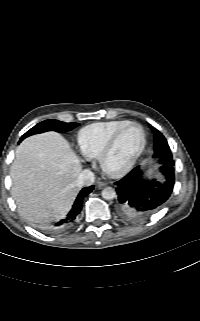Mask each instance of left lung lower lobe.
Returning a JSON list of instances; mask_svg holds the SVG:
<instances>
[{"instance_id":"left-lung-lower-lobe-1","label":"left lung lower lobe","mask_w":200,"mask_h":321,"mask_svg":"<svg viewBox=\"0 0 200 321\" xmlns=\"http://www.w3.org/2000/svg\"><path fill=\"white\" fill-rule=\"evenodd\" d=\"M158 163L161 166L158 179H145L143 172L136 167L115 183L117 210L123 220L131 223L146 221L170 197L175 182L172 154Z\"/></svg>"}]
</instances>
